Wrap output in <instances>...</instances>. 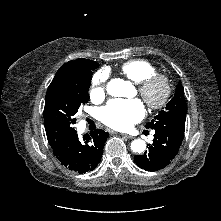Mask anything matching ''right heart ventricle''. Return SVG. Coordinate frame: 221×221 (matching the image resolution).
<instances>
[{
  "label": "right heart ventricle",
  "instance_id": "obj_1",
  "mask_svg": "<svg viewBox=\"0 0 221 221\" xmlns=\"http://www.w3.org/2000/svg\"><path fill=\"white\" fill-rule=\"evenodd\" d=\"M121 72L130 80L139 83L156 73V67L142 59L130 60L121 67Z\"/></svg>",
  "mask_w": 221,
  "mask_h": 221
}]
</instances>
